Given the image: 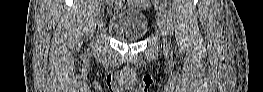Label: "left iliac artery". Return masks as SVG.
<instances>
[{
	"label": "left iliac artery",
	"mask_w": 263,
	"mask_h": 92,
	"mask_svg": "<svg viewBox=\"0 0 263 92\" xmlns=\"http://www.w3.org/2000/svg\"><path fill=\"white\" fill-rule=\"evenodd\" d=\"M158 5H159L158 9H159L160 15L165 16L164 20H167L168 19V16H167L168 12L165 9L166 2L165 1H159Z\"/></svg>",
	"instance_id": "obj_1"
}]
</instances>
